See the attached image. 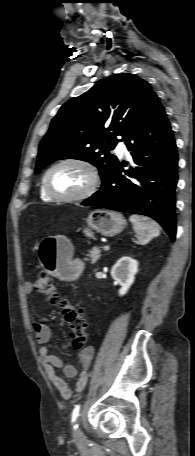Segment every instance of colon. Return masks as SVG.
<instances>
[{
	"mask_svg": "<svg viewBox=\"0 0 195 456\" xmlns=\"http://www.w3.org/2000/svg\"><path fill=\"white\" fill-rule=\"evenodd\" d=\"M34 289L47 296L48 299L62 308L67 325L70 329V336L75 349H82L87 341V323L83 313L69 301L59 298L52 278L42 272L33 284Z\"/></svg>",
	"mask_w": 195,
	"mask_h": 456,
	"instance_id": "1",
	"label": "colon"
}]
</instances>
